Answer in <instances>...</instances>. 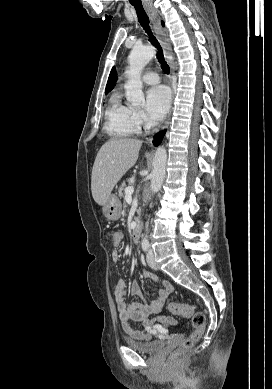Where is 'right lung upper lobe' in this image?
Segmentation results:
<instances>
[{"instance_id":"cb5924a9","label":"right lung upper lobe","mask_w":272,"mask_h":389,"mask_svg":"<svg viewBox=\"0 0 272 389\" xmlns=\"http://www.w3.org/2000/svg\"><path fill=\"white\" fill-rule=\"evenodd\" d=\"M116 81H117V73L115 67H113L108 78L105 93H109L113 89V86Z\"/></svg>"}]
</instances>
